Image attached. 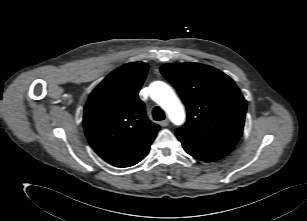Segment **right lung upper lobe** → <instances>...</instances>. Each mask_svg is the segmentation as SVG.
Masks as SVG:
<instances>
[{
	"instance_id": "cb5924a9",
	"label": "right lung upper lobe",
	"mask_w": 307,
	"mask_h": 221,
	"mask_svg": "<svg viewBox=\"0 0 307 221\" xmlns=\"http://www.w3.org/2000/svg\"><path fill=\"white\" fill-rule=\"evenodd\" d=\"M148 70L143 62L112 71L90 94L83 116L93 150L116 167H128L148 150L160 126L151 122L138 98Z\"/></svg>"
}]
</instances>
